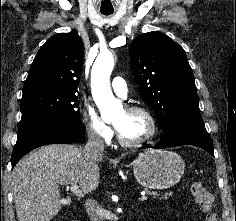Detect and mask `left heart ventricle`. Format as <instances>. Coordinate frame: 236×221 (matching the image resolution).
I'll use <instances>...</instances> for the list:
<instances>
[{
	"mask_svg": "<svg viewBox=\"0 0 236 221\" xmlns=\"http://www.w3.org/2000/svg\"><path fill=\"white\" fill-rule=\"evenodd\" d=\"M114 125L120 135L128 140L135 141L144 138L150 130L148 119L141 113H130L122 110L114 120Z\"/></svg>",
	"mask_w": 236,
	"mask_h": 221,
	"instance_id": "obj_1",
	"label": "left heart ventricle"
}]
</instances>
